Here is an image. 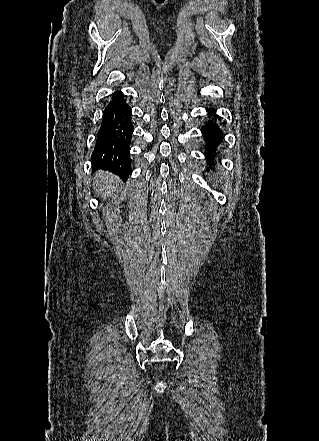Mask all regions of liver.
Masks as SVG:
<instances>
[{
	"label": "liver",
	"instance_id": "1",
	"mask_svg": "<svg viewBox=\"0 0 319 441\" xmlns=\"http://www.w3.org/2000/svg\"><path fill=\"white\" fill-rule=\"evenodd\" d=\"M118 183V177L106 171H98L94 176L93 188L98 196L102 199H106L113 194Z\"/></svg>",
	"mask_w": 319,
	"mask_h": 441
}]
</instances>
